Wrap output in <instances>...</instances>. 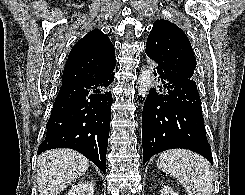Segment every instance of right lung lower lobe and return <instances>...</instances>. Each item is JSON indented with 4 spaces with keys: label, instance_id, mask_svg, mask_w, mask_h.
I'll list each match as a JSON object with an SVG mask.
<instances>
[{
    "label": "right lung lower lobe",
    "instance_id": "obj_1",
    "mask_svg": "<svg viewBox=\"0 0 245 195\" xmlns=\"http://www.w3.org/2000/svg\"><path fill=\"white\" fill-rule=\"evenodd\" d=\"M113 70L62 82L38 154L54 148L74 149L106 172L111 120Z\"/></svg>",
    "mask_w": 245,
    "mask_h": 195
}]
</instances>
